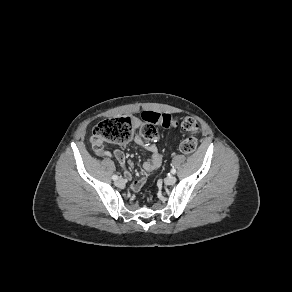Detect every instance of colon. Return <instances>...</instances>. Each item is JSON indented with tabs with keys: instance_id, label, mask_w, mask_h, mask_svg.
<instances>
[{
	"instance_id": "1",
	"label": "colon",
	"mask_w": 292,
	"mask_h": 292,
	"mask_svg": "<svg viewBox=\"0 0 292 292\" xmlns=\"http://www.w3.org/2000/svg\"><path fill=\"white\" fill-rule=\"evenodd\" d=\"M178 124V121L170 115H160L155 112L146 111L141 115V135L146 139L153 141L158 137L157 126L169 127ZM186 137L180 144V150L183 153H193L198 146L197 138L194 134L198 130V124L192 117H184L180 123ZM135 127L130 117L106 119L98 123L91 137V144L95 154L102 155L104 152L103 143H127L134 135Z\"/></svg>"
}]
</instances>
